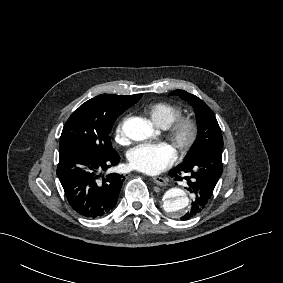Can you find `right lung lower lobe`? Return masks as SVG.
Masks as SVG:
<instances>
[{
	"mask_svg": "<svg viewBox=\"0 0 283 283\" xmlns=\"http://www.w3.org/2000/svg\"><path fill=\"white\" fill-rule=\"evenodd\" d=\"M115 150L99 155L84 146H69L59 150L57 176L70 206L86 218H100L115 207L124 177L101 171L119 163ZM100 173V174H99Z\"/></svg>",
	"mask_w": 283,
	"mask_h": 283,
	"instance_id": "1",
	"label": "right lung lower lobe"
}]
</instances>
